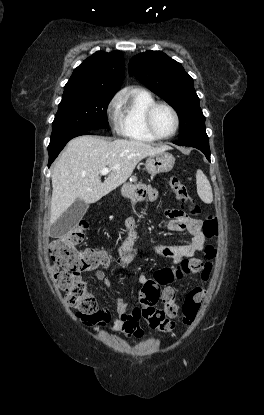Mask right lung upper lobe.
<instances>
[{
    "label": "right lung upper lobe",
    "mask_w": 264,
    "mask_h": 415,
    "mask_svg": "<svg viewBox=\"0 0 264 415\" xmlns=\"http://www.w3.org/2000/svg\"><path fill=\"white\" fill-rule=\"evenodd\" d=\"M123 54L98 51L84 60L64 87L63 96L115 94L124 78Z\"/></svg>",
    "instance_id": "cb5924a9"
}]
</instances>
